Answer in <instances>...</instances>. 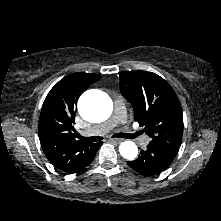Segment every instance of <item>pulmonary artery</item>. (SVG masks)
<instances>
[{
	"mask_svg": "<svg viewBox=\"0 0 221 221\" xmlns=\"http://www.w3.org/2000/svg\"><path fill=\"white\" fill-rule=\"evenodd\" d=\"M125 120H126V113H125L124 101L121 97H118L115 100L113 116L109 120L104 122L103 124L95 127L93 132L96 134L107 133L111 131L119 123H124ZM125 130L127 132H132V130L129 127H125ZM149 141H150V138L148 136H143L140 139V143L143 147L147 146Z\"/></svg>",
	"mask_w": 221,
	"mask_h": 221,
	"instance_id": "obj_1",
	"label": "pulmonary artery"
}]
</instances>
